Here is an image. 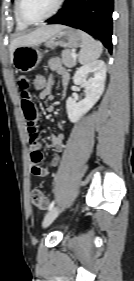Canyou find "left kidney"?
<instances>
[{
  "mask_svg": "<svg viewBox=\"0 0 134 281\" xmlns=\"http://www.w3.org/2000/svg\"><path fill=\"white\" fill-rule=\"evenodd\" d=\"M92 74L89 81L87 76ZM106 79V65L104 61L97 60L77 69L74 74L73 82L85 89V98L77 102L73 97H69L66 101V110L69 120L76 123L86 114L100 99Z\"/></svg>",
  "mask_w": 134,
  "mask_h": 281,
  "instance_id": "obj_1",
  "label": "left kidney"
}]
</instances>
